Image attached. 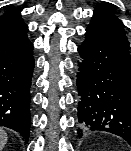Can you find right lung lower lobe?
Instances as JSON below:
<instances>
[{"label": "right lung lower lobe", "instance_id": "98d812e1", "mask_svg": "<svg viewBox=\"0 0 131 151\" xmlns=\"http://www.w3.org/2000/svg\"><path fill=\"white\" fill-rule=\"evenodd\" d=\"M33 44L27 30L0 34V125L19 132L28 142Z\"/></svg>", "mask_w": 131, "mask_h": 151}]
</instances>
